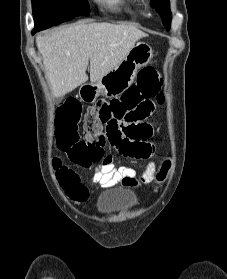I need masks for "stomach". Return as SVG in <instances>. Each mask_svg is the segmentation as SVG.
<instances>
[{"label": "stomach", "instance_id": "0dacf381", "mask_svg": "<svg viewBox=\"0 0 227 279\" xmlns=\"http://www.w3.org/2000/svg\"><path fill=\"white\" fill-rule=\"evenodd\" d=\"M152 57L151 45L136 41L126 57L111 71L96 82L81 85L80 99L86 103H93L100 94L110 98L119 96L131 86L137 70L146 66Z\"/></svg>", "mask_w": 227, "mask_h": 279}]
</instances>
